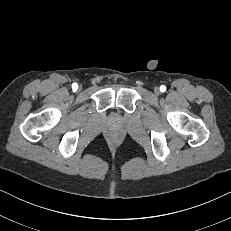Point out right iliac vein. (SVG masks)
<instances>
[{"label": "right iliac vein", "instance_id": "1", "mask_svg": "<svg viewBox=\"0 0 231 231\" xmlns=\"http://www.w3.org/2000/svg\"><path fill=\"white\" fill-rule=\"evenodd\" d=\"M81 88H82V87L80 86V87H79V90H81Z\"/></svg>", "mask_w": 231, "mask_h": 231}]
</instances>
